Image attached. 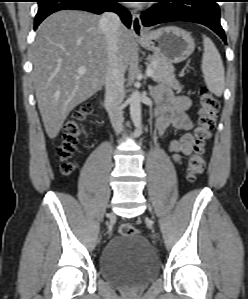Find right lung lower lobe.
Here are the masks:
<instances>
[{"mask_svg": "<svg viewBox=\"0 0 248 299\" xmlns=\"http://www.w3.org/2000/svg\"><path fill=\"white\" fill-rule=\"evenodd\" d=\"M120 0H38L39 9L35 17L36 29L38 25L50 14L65 9L85 10L95 14H101L106 11L117 13L122 22L130 28V13L118 4Z\"/></svg>", "mask_w": 248, "mask_h": 299, "instance_id": "right-lung-lower-lobe-1", "label": "right lung lower lobe"}]
</instances>
